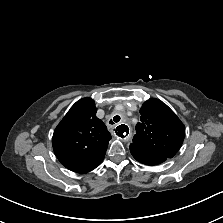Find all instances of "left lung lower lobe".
Segmentation results:
<instances>
[{"label":"left lung lower lobe","instance_id":"1","mask_svg":"<svg viewBox=\"0 0 223 223\" xmlns=\"http://www.w3.org/2000/svg\"><path fill=\"white\" fill-rule=\"evenodd\" d=\"M131 154L133 157L140 163L145 164V165H157L162 162H164L167 158L147 153L144 151H141L139 149L130 147Z\"/></svg>","mask_w":223,"mask_h":223}]
</instances>
